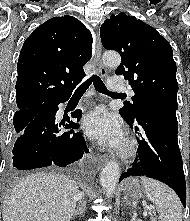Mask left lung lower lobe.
I'll use <instances>...</instances> for the list:
<instances>
[{
	"instance_id": "left-lung-lower-lobe-1",
	"label": "left lung lower lobe",
	"mask_w": 190,
	"mask_h": 221,
	"mask_svg": "<svg viewBox=\"0 0 190 221\" xmlns=\"http://www.w3.org/2000/svg\"><path fill=\"white\" fill-rule=\"evenodd\" d=\"M127 123L138 133L139 153L133 167L120 176H146L170 186L186 206V183L178 146L176 110L148 106Z\"/></svg>"
}]
</instances>
